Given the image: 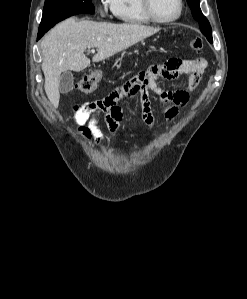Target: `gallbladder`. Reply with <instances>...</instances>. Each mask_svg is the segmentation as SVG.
<instances>
[{"instance_id":"1","label":"gallbladder","mask_w":247,"mask_h":299,"mask_svg":"<svg viewBox=\"0 0 247 299\" xmlns=\"http://www.w3.org/2000/svg\"><path fill=\"white\" fill-rule=\"evenodd\" d=\"M74 87V76L71 71H65L60 76L59 91L62 94L70 92Z\"/></svg>"}]
</instances>
